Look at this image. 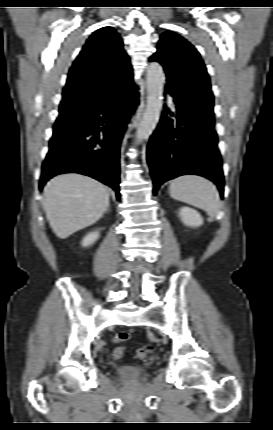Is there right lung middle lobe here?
Here are the masks:
<instances>
[{
	"mask_svg": "<svg viewBox=\"0 0 273 430\" xmlns=\"http://www.w3.org/2000/svg\"><path fill=\"white\" fill-rule=\"evenodd\" d=\"M59 112L60 114L55 122L54 130L71 126L75 124L82 116V110L66 108V109H61Z\"/></svg>",
	"mask_w": 273,
	"mask_h": 430,
	"instance_id": "1",
	"label": "right lung middle lobe"
}]
</instances>
